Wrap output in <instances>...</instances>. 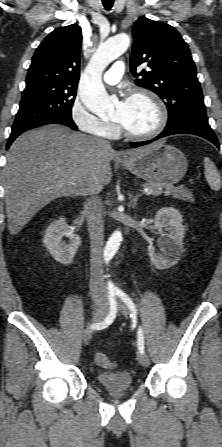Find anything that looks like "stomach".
<instances>
[{
	"instance_id": "0dacf381",
	"label": "stomach",
	"mask_w": 222,
	"mask_h": 447,
	"mask_svg": "<svg viewBox=\"0 0 222 447\" xmlns=\"http://www.w3.org/2000/svg\"><path fill=\"white\" fill-rule=\"evenodd\" d=\"M132 174L148 183L172 186L185 175L187 159L176 147L154 143L134 156L121 161Z\"/></svg>"
}]
</instances>
